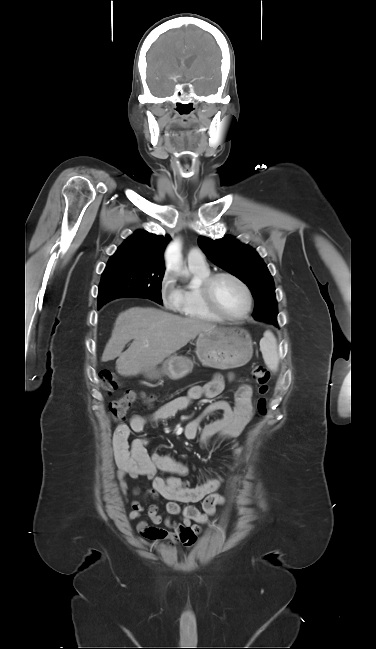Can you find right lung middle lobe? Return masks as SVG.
<instances>
[{"label":"right lung middle lobe","instance_id":"obj_1","mask_svg":"<svg viewBox=\"0 0 376 649\" xmlns=\"http://www.w3.org/2000/svg\"><path fill=\"white\" fill-rule=\"evenodd\" d=\"M164 270L152 271L146 261L131 257H111L99 285L98 309L119 297H143L162 304Z\"/></svg>","mask_w":376,"mask_h":649}]
</instances>
